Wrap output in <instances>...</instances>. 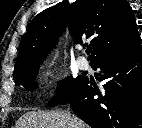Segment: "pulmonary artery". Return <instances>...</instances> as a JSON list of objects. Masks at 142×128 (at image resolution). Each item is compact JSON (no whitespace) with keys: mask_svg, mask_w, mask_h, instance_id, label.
Here are the masks:
<instances>
[{"mask_svg":"<svg viewBox=\"0 0 142 128\" xmlns=\"http://www.w3.org/2000/svg\"><path fill=\"white\" fill-rule=\"evenodd\" d=\"M77 65H78V67H79L80 69H82V70H86V69L89 68V62H88V60H87L85 57H83V56H79V57L77 58Z\"/></svg>","mask_w":142,"mask_h":128,"instance_id":"pulmonary-artery-1","label":"pulmonary artery"}]
</instances>
